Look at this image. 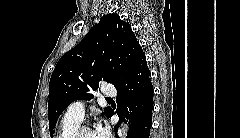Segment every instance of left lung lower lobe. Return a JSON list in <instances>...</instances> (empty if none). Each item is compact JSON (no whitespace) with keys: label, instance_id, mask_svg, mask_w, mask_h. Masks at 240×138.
Returning a JSON list of instances; mask_svg holds the SVG:
<instances>
[{"label":"left lung lower lobe","instance_id":"obj_1","mask_svg":"<svg viewBox=\"0 0 240 138\" xmlns=\"http://www.w3.org/2000/svg\"><path fill=\"white\" fill-rule=\"evenodd\" d=\"M116 90L118 92L116 113L120 117V121L116 125L115 131L126 116L129 119L127 138H149L152 127V110L154 109V89L143 50L137 54ZM112 115L114 112L111 110L107 118Z\"/></svg>","mask_w":240,"mask_h":138}]
</instances>
